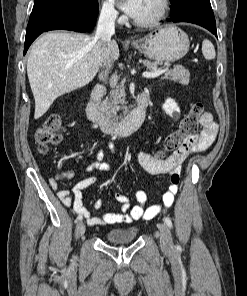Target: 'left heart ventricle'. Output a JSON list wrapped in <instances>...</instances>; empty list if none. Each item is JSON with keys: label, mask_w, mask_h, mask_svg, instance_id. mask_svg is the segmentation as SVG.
Returning a JSON list of instances; mask_svg holds the SVG:
<instances>
[{"label": "left heart ventricle", "mask_w": 247, "mask_h": 296, "mask_svg": "<svg viewBox=\"0 0 247 296\" xmlns=\"http://www.w3.org/2000/svg\"><path fill=\"white\" fill-rule=\"evenodd\" d=\"M158 10V3L157 0H146L144 7L140 14L136 17L138 20H148L152 18Z\"/></svg>", "instance_id": "left-heart-ventricle-1"}]
</instances>
